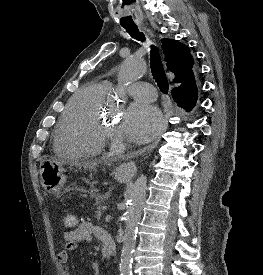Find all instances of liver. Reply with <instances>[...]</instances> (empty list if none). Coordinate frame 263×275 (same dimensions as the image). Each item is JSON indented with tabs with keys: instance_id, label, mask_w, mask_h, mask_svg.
Returning <instances> with one entry per match:
<instances>
[{
	"instance_id": "1",
	"label": "liver",
	"mask_w": 263,
	"mask_h": 275,
	"mask_svg": "<svg viewBox=\"0 0 263 275\" xmlns=\"http://www.w3.org/2000/svg\"><path fill=\"white\" fill-rule=\"evenodd\" d=\"M95 165H96V162L93 161V162H87V163H85L83 166H84L85 168H94Z\"/></svg>"
}]
</instances>
